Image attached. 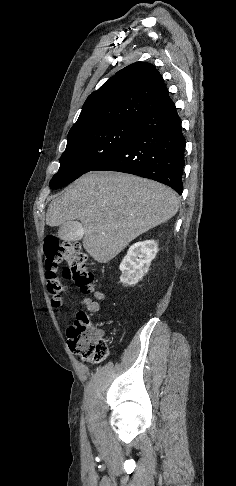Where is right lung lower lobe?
<instances>
[{
    "instance_id": "obj_1",
    "label": "right lung lower lobe",
    "mask_w": 236,
    "mask_h": 486,
    "mask_svg": "<svg viewBox=\"0 0 236 486\" xmlns=\"http://www.w3.org/2000/svg\"><path fill=\"white\" fill-rule=\"evenodd\" d=\"M136 134L91 171H117L156 180L182 193L185 138L175 105L151 113Z\"/></svg>"
}]
</instances>
